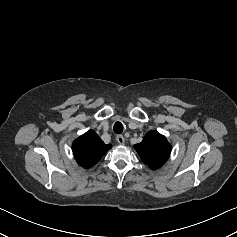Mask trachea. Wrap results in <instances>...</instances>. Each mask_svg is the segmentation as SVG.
<instances>
[{"label":"trachea","instance_id":"obj_1","mask_svg":"<svg viewBox=\"0 0 237 237\" xmlns=\"http://www.w3.org/2000/svg\"><path fill=\"white\" fill-rule=\"evenodd\" d=\"M113 130L116 134H121L123 132V125L121 122H116L114 124Z\"/></svg>","mask_w":237,"mask_h":237}]
</instances>
